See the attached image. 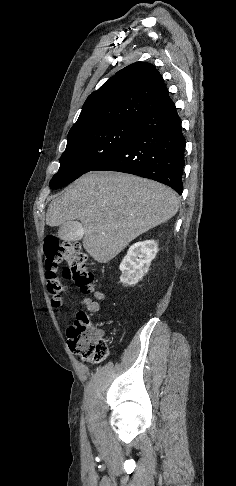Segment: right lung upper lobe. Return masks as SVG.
<instances>
[{
  "label": "right lung upper lobe",
  "instance_id": "obj_1",
  "mask_svg": "<svg viewBox=\"0 0 236 486\" xmlns=\"http://www.w3.org/2000/svg\"><path fill=\"white\" fill-rule=\"evenodd\" d=\"M173 105L155 66L136 62L118 71L88 96L68 138L95 128L138 123L143 117Z\"/></svg>",
  "mask_w": 236,
  "mask_h": 486
}]
</instances>
